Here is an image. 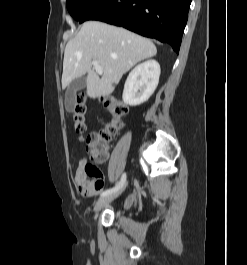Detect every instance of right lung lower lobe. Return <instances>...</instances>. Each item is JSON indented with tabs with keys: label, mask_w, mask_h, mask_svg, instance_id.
Listing matches in <instances>:
<instances>
[{
	"label": "right lung lower lobe",
	"mask_w": 247,
	"mask_h": 265,
	"mask_svg": "<svg viewBox=\"0 0 247 265\" xmlns=\"http://www.w3.org/2000/svg\"><path fill=\"white\" fill-rule=\"evenodd\" d=\"M191 0H99L79 20H99L169 43L177 53Z\"/></svg>",
	"instance_id": "right-lung-lower-lobe-1"
}]
</instances>
